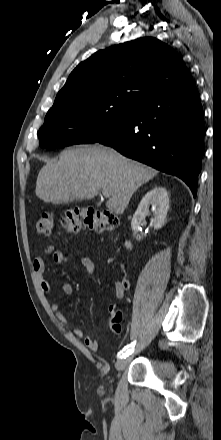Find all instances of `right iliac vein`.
Here are the masks:
<instances>
[{
    "label": "right iliac vein",
    "instance_id": "63e3f726",
    "mask_svg": "<svg viewBox=\"0 0 221 440\" xmlns=\"http://www.w3.org/2000/svg\"><path fill=\"white\" fill-rule=\"evenodd\" d=\"M130 358L120 359L116 362L115 367L118 371L125 369V367L129 364Z\"/></svg>",
    "mask_w": 221,
    "mask_h": 440
}]
</instances>
